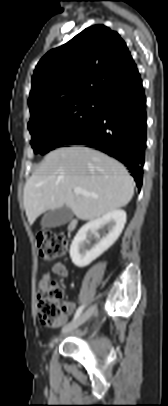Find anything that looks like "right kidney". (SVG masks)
I'll use <instances>...</instances> for the list:
<instances>
[{
	"mask_svg": "<svg viewBox=\"0 0 168 406\" xmlns=\"http://www.w3.org/2000/svg\"><path fill=\"white\" fill-rule=\"evenodd\" d=\"M125 223L126 212L118 209L82 226L70 246V257L72 262L80 268L89 265L115 243L122 233ZM106 224L109 228L108 234L88 250L85 245L88 232L95 233L99 228Z\"/></svg>",
	"mask_w": 168,
	"mask_h": 406,
	"instance_id": "right-kidney-1",
	"label": "right kidney"
}]
</instances>
